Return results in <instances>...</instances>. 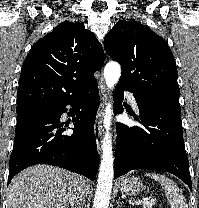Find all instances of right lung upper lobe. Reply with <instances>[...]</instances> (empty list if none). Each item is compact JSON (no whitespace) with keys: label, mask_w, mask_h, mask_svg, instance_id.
<instances>
[{"label":"right lung upper lobe","mask_w":199,"mask_h":208,"mask_svg":"<svg viewBox=\"0 0 199 208\" xmlns=\"http://www.w3.org/2000/svg\"><path fill=\"white\" fill-rule=\"evenodd\" d=\"M104 63L95 35L79 22L64 21L38 40L24 60L17 110L75 95L96 81Z\"/></svg>","instance_id":"right-lung-upper-lobe-1"}]
</instances>
